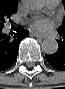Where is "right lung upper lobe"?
<instances>
[{
    "mask_svg": "<svg viewBox=\"0 0 65 89\" xmlns=\"http://www.w3.org/2000/svg\"><path fill=\"white\" fill-rule=\"evenodd\" d=\"M2 1L8 2L10 4L17 5V0H2Z\"/></svg>",
    "mask_w": 65,
    "mask_h": 89,
    "instance_id": "right-lung-upper-lobe-1",
    "label": "right lung upper lobe"
}]
</instances>
